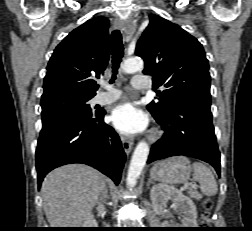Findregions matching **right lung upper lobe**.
I'll return each mask as SVG.
<instances>
[{
	"label": "right lung upper lobe",
	"mask_w": 252,
	"mask_h": 231,
	"mask_svg": "<svg viewBox=\"0 0 252 231\" xmlns=\"http://www.w3.org/2000/svg\"><path fill=\"white\" fill-rule=\"evenodd\" d=\"M108 25L107 18H93L62 40L48 63L42 100L64 94H96L98 85L91 77L103 72L109 60Z\"/></svg>",
	"instance_id": "right-lung-upper-lobe-1"
}]
</instances>
